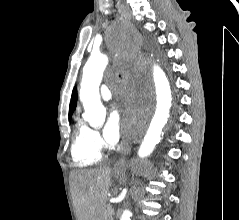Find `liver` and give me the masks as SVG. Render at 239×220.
I'll return each mask as SVG.
<instances>
[{"instance_id": "obj_1", "label": "liver", "mask_w": 239, "mask_h": 220, "mask_svg": "<svg viewBox=\"0 0 239 220\" xmlns=\"http://www.w3.org/2000/svg\"><path fill=\"white\" fill-rule=\"evenodd\" d=\"M110 167L75 170L70 173L77 220H102L110 187Z\"/></svg>"}]
</instances>
